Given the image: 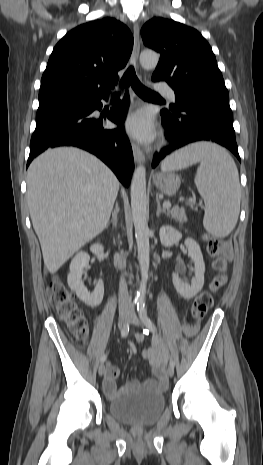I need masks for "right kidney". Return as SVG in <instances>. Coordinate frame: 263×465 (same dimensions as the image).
I'll list each match as a JSON object with an SVG mask.
<instances>
[{
  "label": "right kidney",
  "mask_w": 263,
  "mask_h": 465,
  "mask_svg": "<svg viewBox=\"0 0 263 465\" xmlns=\"http://www.w3.org/2000/svg\"><path fill=\"white\" fill-rule=\"evenodd\" d=\"M104 250L101 244H93L90 247V251L93 254H100ZM90 256L87 252L81 251L77 253L71 261L70 264V273L67 277L68 286L71 290L76 292L79 299H81L88 306L94 307L99 305L104 296V285L102 280H100L94 291L89 292L88 289L84 286L82 281L83 270L89 265Z\"/></svg>",
  "instance_id": "1"
}]
</instances>
